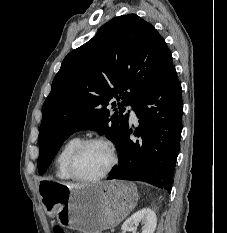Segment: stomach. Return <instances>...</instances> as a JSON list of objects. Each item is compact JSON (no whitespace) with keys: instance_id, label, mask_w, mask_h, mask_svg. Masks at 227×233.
<instances>
[{"instance_id":"0dacf381","label":"stomach","mask_w":227,"mask_h":233,"mask_svg":"<svg viewBox=\"0 0 227 233\" xmlns=\"http://www.w3.org/2000/svg\"><path fill=\"white\" fill-rule=\"evenodd\" d=\"M40 197L45 212L62 226L82 233H101L117 226L135 208L138 193L127 181H105L70 188L44 180Z\"/></svg>"}]
</instances>
